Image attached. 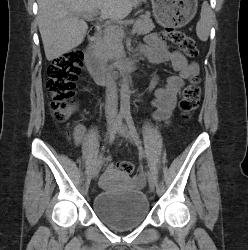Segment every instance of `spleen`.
<instances>
[{
	"mask_svg": "<svg viewBox=\"0 0 248 250\" xmlns=\"http://www.w3.org/2000/svg\"><path fill=\"white\" fill-rule=\"evenodd\" d=\"M200 16L201 18L196 25V34L201 41L205 42L207 41L210 33L211 22L213 17V12L208 2L206 1L202 4Z\"/></svg>",
	"mask_w": 248,
	"mask_h": 250,
	"instance_id": "spleen-1",
	"label": "spleen"
}]
</instances>
